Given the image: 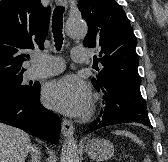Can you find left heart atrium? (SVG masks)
<instances>
[{"instance_id": "39dd6f15", "label": "left heart atrium", "mask_w": 168, "mask_h": 162, "mask_svg": "<svg viewBox=\"0 0 168 162\" xmlns=\"http://www.w3.org/2000/svg\"><path fill=\"white\" fill-rule=\"evenodd\" d=\"M45 104L68 115H81L90 106L91 94L85 82L73 75L65 76L46 85Z\"/></svg>"}]
</instances>
